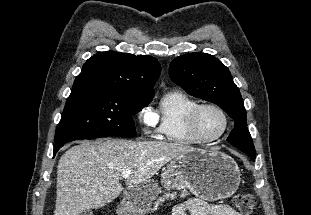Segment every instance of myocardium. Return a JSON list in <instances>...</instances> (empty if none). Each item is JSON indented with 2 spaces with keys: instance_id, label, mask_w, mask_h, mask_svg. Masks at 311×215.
<instances>
[{
  "instance_id": "myocardium-1",
  "label": "myocardium",
  "mask_w": 311,
  "mask_h": 215,
  "mask_svg": "<svg viewBox=\"0 0 311 215\" xmlns=\"http://www.w3.org/2000/svg\"><path fill=\"white\" fill-rule=\"evenodd\" d=\"M206 108H211L216 110L222 117L224 125L222 130L213 137H207L201 133L198 126L199 115L202 110ZM229 119L225 110L217 104L214 103H202L197 104L188 114L187 116V128L189 133L193 138H195L200 143H211L220 139L228 129Z\"/></svg>"
}]
</instances>
